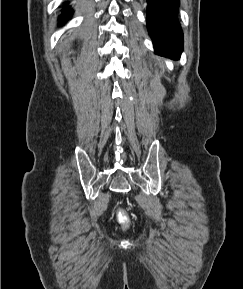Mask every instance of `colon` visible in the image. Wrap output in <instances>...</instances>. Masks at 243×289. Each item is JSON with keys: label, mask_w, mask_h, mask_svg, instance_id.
<instances>
[{"label": "colon", "mask_w": 243, "mask_h": 289, "mask_svg": "<svg viewBox=\"0 0 243 289\" xmlns=\"http://www.w3.org/2000/svg\"><path fill=\"white\" fill-rule=\"evenodd\" d=\"M117 218L122 225L127 226L129 224V217L124 210H117Z\"/></svg>", "instance_id": "1"}]
</instances>
